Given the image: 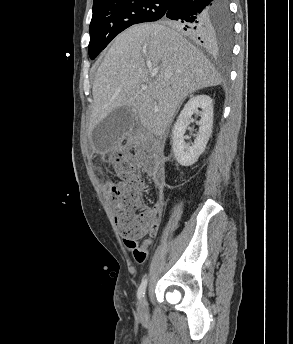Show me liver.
Segmentation results:
<instances>
[{
	"instance_id": "6515ba94",
	"label": "liver",
	"mask_w": 293,
	"mask_h": 344,
	"mask_svg": "<svg viewBox=\"0 0 293 344\" xmlns=\"http://www.w3.org/2000/svg\"><path fill=\"white\" fill-rule=\"evenodd\" d=\"M220 83L215 67L174 27L136 25L115 38L97 70L90 126L128 107L161 136L189 94Z\"/></svg>"
}]
</instances>
